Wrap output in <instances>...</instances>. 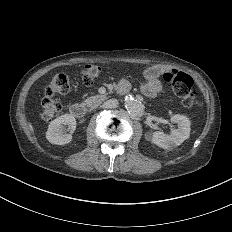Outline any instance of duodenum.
I'll use <instances>...</instances> for the list:
<instances>
[{
    "instance_id": "duodenum-1",
    "label": "duodenum",
    "mask_w": 232,
    "mask_h": 232,
    "mask_svg": "<svg viewBox=\"0 0 232 232\" xmlns=\"http://www.w3.org/2000/svg\"><path fill=\"white\" fill-rule=\"evenodd\" d=\"M70 114L75 118H82L85 116L86 109L78 103L72 104L69 108Z\"/></svg>"
}]
</instances>
